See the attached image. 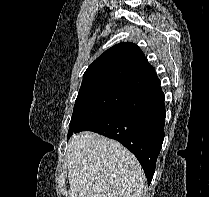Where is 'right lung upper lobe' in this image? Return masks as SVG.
I'll return each mask as SVG.
<instances>
[{"label": "right lung upper lobe", "instance_id": "cb5924a9", "mask_svg": "<svg viewBox=\"0 0 209 197\" xmlns=\"http://www.w3.org/2000/svg\"><path fill=\"white\" fill-rule=\"evenodd\" d=\"M110 81L138 92L160 83L141 49L129 42L112 46L85 71L83 82Z\"/></svg>", "mask_w": 209, "mask_h": 197}]
</instances>
